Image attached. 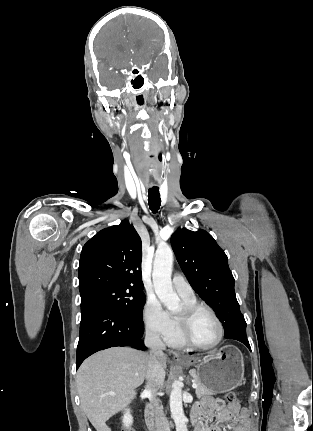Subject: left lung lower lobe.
<instances>
[{"label":"left lung lower lobe","instance_id":"0a47b994","mask_svg":"<svg viewBox=\"0 0 313 431\" xmlns=\"http://www.w3.org/2000/svg\"><path fill=\"white\" fill-rule=\"evenodd\" d=\"M225 338L238 340V341L244 343L251 350L249 342H248L247 337H246V334L238 333V334H233V335L227 336Z\"/></svg>","mask_w":313,"mask_h":431}]
</instances>
